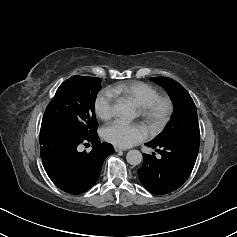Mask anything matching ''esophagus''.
Returning <instances> with one entry per match:
<instances>
[{
  "mask_svg": "<svg viewBox=\"0 0 237 237\" xmlns=\"http://www.w3.org/2000/svg\"><path fill=\"white\" fill-rule=\"evenodd\" d=\"M114 149H115L116 152L125 151V149L117 147V146H115Z\"/></svg>",
  "mask_w": 237,
  "mask_h": 237,
  "instance_id": "esophagus-1",
  "label": "esophagus"
}]
</instances>
